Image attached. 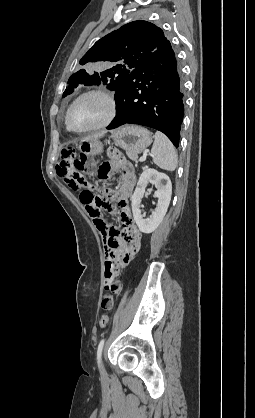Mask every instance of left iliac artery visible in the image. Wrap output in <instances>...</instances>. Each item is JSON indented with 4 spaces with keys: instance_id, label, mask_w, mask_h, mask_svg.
I'll return each mask as SVG.
<instances>
[{
    "instance_id": "left-iliac-artery-1",
    "label": "left iliac artery",
    "mask_w": 255,
    "mask_h": 418,
    "mask_svg": "<svg viewBox=\"0 0 255 418\" xmlns=\"http://www.w3.org/2000/svg\"><path fill=\"white\" fill-rule=\"evenodd\" d=\"M104 342H105V339H102L100 341L99 345H98V349H97V362H98V365L100 364L101 354H102Z\"/></svg>"
}]
</instances>
